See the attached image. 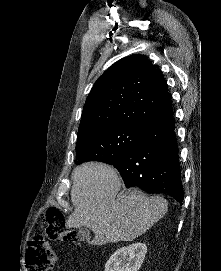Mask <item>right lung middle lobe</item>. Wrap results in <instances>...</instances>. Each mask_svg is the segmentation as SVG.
<instances>
[{"instance_id": "1", "label": "right lung middle lobe", "mask_w": 221, "mask_h": 271, "mask_svg": "<svg viewBox=\"0 0 221 271\" xmlns=\"http://www.w3.org/2000/svg\"><path fill=\"white\" fill-rule=\"evenodd\" d=\"M145 129L128 125L109 126L77 138L76 164L100 161L113 164L140 140Z\"/></svg>"}]
</instances>
